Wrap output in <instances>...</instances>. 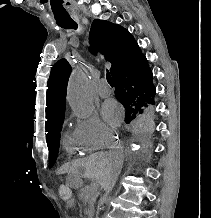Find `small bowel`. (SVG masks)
<instances>
[{"instance_id":"obj_1","label":"small bowel","mask_w":211,"mask_h":218,"mask_svg":"<svg viewBox=\"0 0 211 218\" xmlns=\"http://www.w3.org/2000/svg\"><path fill=\"white\" fill-rule=\"evenodd\" d=\"M74 204H75V202H74L73 199H71V200H69V201L66 202L67 207H73Z\"/></svg>"}]
</instances>
